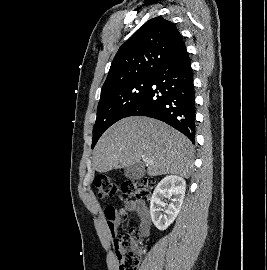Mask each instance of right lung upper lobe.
Here are the masks:
<instances>
[{
    "instance_id": "right-lung-upper-lobe-1",
    "label": "right lung upper lobe",
    "mask_w": 267,
    "mask_h": 270,
    "mask_svg": "<svg viewBox=\"0 0 267 270\" xmlns=\"http://www.w3.org/2000/svg\"><path fill=\"white\" fill-rule=\"evenodd\" d=\"M183 44L172 22L161 16L150 19L119 48L101 91L133 79L151 77Z\"/></svg>"
}]
</instances>
